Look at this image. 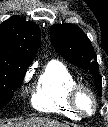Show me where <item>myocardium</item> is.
I'll return each mask as SVG.
<instances>
[{"label": "myocardium", "instance_id": "myocardium-1", "mask_svg": "<svg viewBox=\"0 0 108 127\" xmlns=\"http://www.w3.org/2000/svg\"><path fill=\"white\" fill-rule=\"evenodd\" d=\"M87 96L90 99L91 107L89 110L81 105V98ZM69 102L71 107L81 116H91L97 108V99L94 92L87 86L76 84L70 91Z\"/></svg>", "mask_w": 108, "mask_h": 127}]
</instances>
